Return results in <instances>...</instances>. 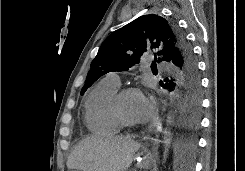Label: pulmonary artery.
Returning <instances> with one entry per match:
<instances>
[{"label": "pulmonary artery", "mask_w": 245, "mask_h": 171, "mask_svg": "<svg viewBox=\"0 0 245 171\" xmlns=\"http://www.w3.org/2000/svg\"><path fill=\"white\" fill-rule=\"evenodd\" d=\"M160 66H165L166 64L163 62V63H160L159 64ZM106 79L111 82L112 84L116 85V86H120V77L117 73L115 72H112V73H109L107 76H106Z\"/></svg>", "instance_id": "obj_1"}]
</instances>
